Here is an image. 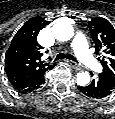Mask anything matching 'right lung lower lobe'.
Instances as JSON below:
<instances>
[{
  "label": "right lung lower lobe",
  "mask_w": 115,
  "mask_h": 119,
  "mask_svg": "<svg viewBox=\"0 0 115 119\" xmlns=\"http://www.w3.org/2000/svg\"><path fill=\"white\" fill-rule=\"evenodd\" d=\"M44 82H45V72L42 74H39L38 76L34 77L31 80L15 85L13 87L17 91L27 94L31 92H36L37 89L41 88Z\"/></svg>",
  "instance_id": "right-lung-lower-lobe-1"
}]
</instances>
